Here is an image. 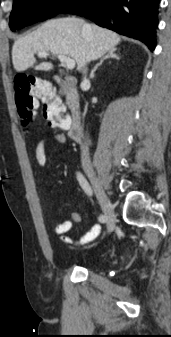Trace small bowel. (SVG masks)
Instances as JSON below:
<instances>
[{
	"mask_svg": "<svg viewBox=\"0 0 171 337\" xmlns=\"http://www.w3.org/2000/svg\"><path fill=\"white\" fill-rule=\"evenodd\" d=\"M48 140H52L57 143H65L67 138L63 132H57L49 138H42L35 147V160L39 167L44 168L47 165L46 144ZM81 220V215L78 212H74L71 216V220H64L56 222L53 225V232L59 236L60 240L67 245H85L95 239H97L101 233V227L99 225H93L85 234L78 238H73L67 235L70 232L74 223H78Z\"/></svg>",
	"mask_w": 171,
	"mask_h": 337,
	"instance_id": "c3829d8e",
	"label": "small bowel"
}]
</instances>
